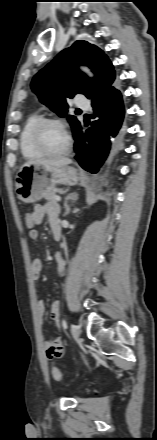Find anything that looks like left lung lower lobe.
<instances>
[{
	"label": "left lung lower lobe",
	"mask_w": 157,
	"mask_h": 440,
	"mask_svg": "<svg viewBox=\"0 0 157 440\" xmlns=\"http://www.w3.org/2000/svg\"><path fill=\"white\" fill-rule=\"evenodd\" d=\"M94 113L84 129L81 124L73 130L75 159L91 173H97L107 158L114 138L125 133L124 104L121 92L112 87L92 101Z\"/></svg>",
	"instance_id": "0a47b994"
}]
</instances>
